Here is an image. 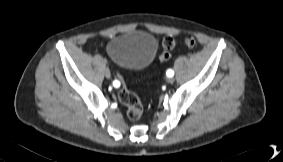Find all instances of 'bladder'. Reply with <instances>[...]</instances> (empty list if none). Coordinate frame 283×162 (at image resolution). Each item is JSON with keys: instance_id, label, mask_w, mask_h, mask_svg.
Here are the masks:
<instances>
[{"instance_id": "bladder-1", "label": "bladder", "mask_w": 283, "mask_h": 162, "mask_svg": "<svg viewBox=\"0 0 283 162\" xmlns=\"http://www.w3.org/2000/svg\"><path fill=\"white\" fill-rule=\"evenodd\" d=\"M110 57L130 69H143L156 57L158 41L150 33L129 31L114 37L107 45Z\"/></svg>"}]
</instances>
